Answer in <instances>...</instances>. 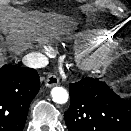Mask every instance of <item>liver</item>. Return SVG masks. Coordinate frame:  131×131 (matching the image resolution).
<instances>
[{
  "label": "liver",
  "mask_w": 131,
  "mask_h": 131,
  "mask_svg": "<svg viewBox=\"0 0 131 131\" xmlns=\"http://www.w3.org/2000/svg\"><path fill=\"white\" fill-rule=\"evenodd\" d=\"M60 20H58L59 22ZM53 24V22H52ZM43 26L42 20L37 13H27L15 10L0 17V29L9 38L19 40V44L25 46V41L36 34ZM50 29L56 26H48ZM2 55L0 54V63Z\"/></svg>",
  "instance_id": "obj_1"
}]
</instances>
